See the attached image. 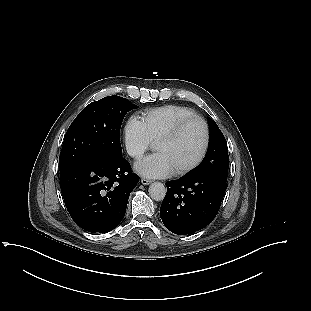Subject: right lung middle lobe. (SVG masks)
<instances>
[{
    "instance_id": "obj_1",
    "label": "right lung middle lobe",
    "mask_w": 311,
    "mask_h": 311,
    "mask_svg": "<svg viewBox=\"0 0 311 311\" xmlns=\"http://www.w3.org/2000/svg\"><path fill=\"white\" fill-rule=\"evenodd\" d=\"M135 108L138 106L119 96H108L86 106L65 135L60 172L88 158L122 157L120 127L126 113Z\"/></svg>"
}]
</instances>
